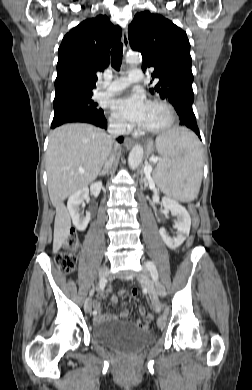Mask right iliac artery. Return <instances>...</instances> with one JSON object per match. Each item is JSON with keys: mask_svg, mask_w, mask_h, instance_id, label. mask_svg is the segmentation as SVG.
<instances>
[{"mask_svg": "<svg viewBox=\"0 0 252 390\" xmlns=\"http://www.w3.org/2000/svg\"><path fill=\"white\" fill-rule=\"evenodd\" d=\"M100 280H101L100 289H101V290H104V289H105V283H106L105 277H104V276H101V277H100ZM91 315H92V316H96V315H97V312H96V311H92V312H91Z\"/></svg>", "mask_w": 252, "mask_h": 390, "instance_id": "82829eb1", "label": "right iliac artery"}]
</instances>
